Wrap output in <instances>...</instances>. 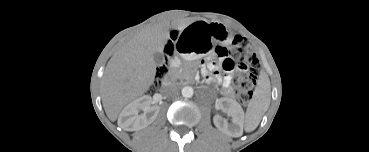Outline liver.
I'll return each instance as SVG.
<instances>
[{
	"label": "liver",
	"instance_id": "obj_1",
	"mask_svg": "<svg viewBox=\"0 0 369 152\" xmlns=\"http://www.w3.org/2000/svg\"><path fill=\"white\" fill-rule=\"evenodd\" d=\"M175 25L168 21L149 25L111 57L101 81L102 103L111 121L117 119L126 104L150 89L157 72L155 56L163 54L170 39L169 29Z\"/></svg>",
	"mask_w": 369,
	"mask_h": 152
}]
</instances>
